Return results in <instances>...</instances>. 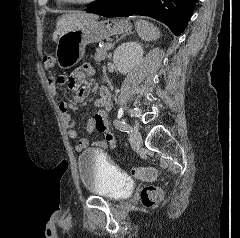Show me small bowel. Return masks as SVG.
I'll return each instance as SVG.
<instances>
[{"label":"small bowel","mask_w":240,"mask_h":238,"mask_svg":"<svg viewBox=\"0 0 240 238\" xmlns=\"http://www.w3.org/2000/svg\"><path fill=\"white\" fill-rule=\"evenodd\" d=\"M95 73L94 68L85 64L82 67L75 70V72L69 77L65 76H50L47 79V86L49 92L56 96L58 86L62 84H68L69 89L71 90L75 101H82L86 97L88 87L86 84V76L93 75ZM99 98L94 102V108L96 109L94 115L89 118L86 124V130L89 133L98 131L103 134V139L96 142L94 145L97 147L105 148L107 146L115 147L116 141L114 136L109 132V113L112 109V103L110 99L109 90L101 85L99 87ZM59 110L62 114V121L67 129L68 136L71 139H76L78 132L76 130V122L71 115V112L76 111V107L68 102H61L59 104ZM89 142L87 139L82 138L75 144V149L77 151H82L87 148ZM119 148L123 147L122 143L118 144Z\"/></svg>","instance_id":"small-bowel-1"}]
</instances>
